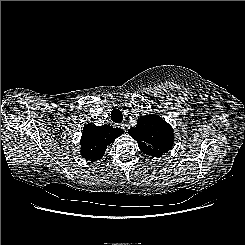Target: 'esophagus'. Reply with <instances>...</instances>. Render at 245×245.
<instances>
[{"instance_id": "esophagus-1", "label": "esophagus", "mask_w": 245, "mask_h": 245, "mask_svg": "<svg viewBox=\"0 0 245 245\" xmlns=\"http://www.w3.org/2000/svg\"><path fill=\"white\" fill-rule=\"evenodd\" d=\"M118 127L121 128L123 132H126V125H125V123H120Z\"/></svg>"}]
</instances>
